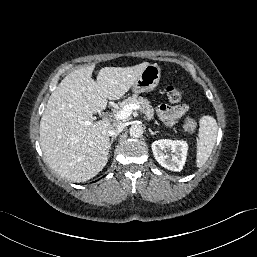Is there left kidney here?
Listing matches in <instances>:
<instances>
[{"label": "left kidney", "instance_id": "left-kidney-1", "mask_svg": "<svg viewBox=\"0 0 257 257\" xmlns=\"http://www.w3.org/2000/svg\"><path fill=\"white\" fill-rule=\"evenodd\" d=\"M151 148L155 159L162 167L176 172L182 170L188 150L185 141L161 139L154 141Z\"/></svg>", "mask_w": 257, "mask_h": 257}]
</instances>
